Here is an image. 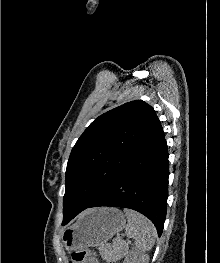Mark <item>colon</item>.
Wrapping results in <instances>:
<instances>
[{"label":"colon","mask_w":220,"mask_h":263,"mask_svg":"<svg viewBox=\"0 0 220 263\" xmlns=\"http://www.w3.org/2000/svg\"><path fill=\"white\" fill-rule=\"evenodd\" d=\"M90 258H95L93 252L87 249H80L72 253L69 263H86Z\"/></svg>","instance_id":"1"}]
</instances>
